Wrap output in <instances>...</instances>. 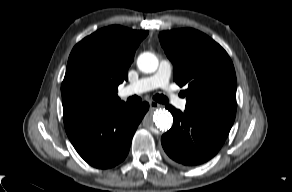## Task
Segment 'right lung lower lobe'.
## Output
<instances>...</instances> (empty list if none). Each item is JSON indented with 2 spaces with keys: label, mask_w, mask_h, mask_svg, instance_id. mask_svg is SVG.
<instances>
[{
  "label": "right lung lower lobe",
  "mask_w": 292,
  "mask_h": 192,
  "mask_svg": "<svg viewBox=\"0 0 292 192\" xmlns=\"http://www.w3.org/2000/svg\"><path fill=\"white\" fill-rule=\"evenodd\" d=\"M149 109L123 103L107 110L64 112L68 138L78 154L91 166L107 169L127 156L133 135Z\"/></svg>",
  "instance_id": "1"
}]
</instances>
